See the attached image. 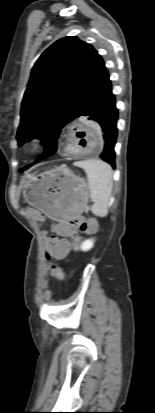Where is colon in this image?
Returning a JSON list of instances; mask_svg holds the SVG:
<instances>
[{"mask_svg": "<svg viewBox=\"0 0 155 413\" xmlns=\"http://www.w3.org/2000/svg\"><path fill=\"white\" fill-rule=\"evenodd\" d=\"M62 224L72 231L77 229L83 233H91L96 229V223L93 220H87L80 223L77 220L64 221ZM83 243L89 242L88 236L82 237ZM47 255L54 257L56 259H61L63 257H69L70 251L66 250V241L60 235H52L47 241ZM49 269L53 277L65 280L66 276L63 275V269L56 263L52 262L49 264Z\"/></svg>", "mask_w": 155, "mask_h": 413, "instance_id": "colon-1", "label": "colon"}]
</instances>
